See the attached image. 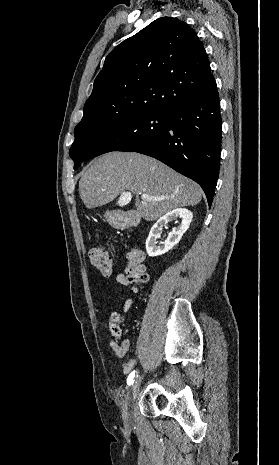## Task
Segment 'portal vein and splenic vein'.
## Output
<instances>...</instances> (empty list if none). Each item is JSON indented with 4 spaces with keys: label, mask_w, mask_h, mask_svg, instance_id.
<instances>
[{
    "label": "portal vein and splenic vein",
    "mask_w": 279,
    "mask_h": 465,
    "mask_svg": "<svg viewBox=\"0 0 279 465\" xmlns=\"http://www.w3.org/2000/svg\"><path fill=\"white\" fill-rule=\"evenodd\" d=\"M124 197H128V198H131V193L130 192H126L122 195V198ZM141 199L144 200V201H160V200H163L164 198H161V197H149L147 194H142L141 195Z\"/></svg>",
    "instance_id": "18ae733b"
}]
</instances>
